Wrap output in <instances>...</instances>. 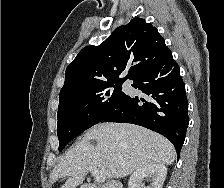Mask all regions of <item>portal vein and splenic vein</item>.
<instances>
[{
  "label": "portal vein and splenic vein",
  "instance_id": "1",
  "mask_svg": "<svg viewBox=\"0 0 224 188\" xmlns=\"http://www.w3.org/2000/svg\"><path fill=\"white\" fill-rule=\"evenodd\" d=\"M88 170L92 173L97 183L105 182V175L100 170L95 167H90Z\"/></svg>",
  "mask_w": 224,
  "mask_h": 188
}]
</instances>
